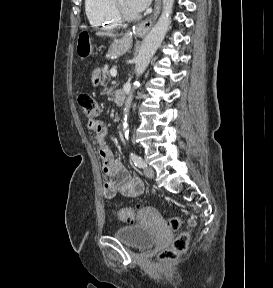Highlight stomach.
Returning a JSON list of instances; mask_svg holds the SVG:
<instances>
[{
	"label": "stomach",
	"instance_id": "obj_1",
	"mask_svg": "<svg viewBox=\"0 0 273 288\" xmlns=\"http://www.w3.org/2000/svg\"><path fill=\"white\" fill-rule=\"evenodd\" d=\"M131 47V41L127 36L115 39L109 46L106 58H116L126 53ZM93 50L92 41L87 35H80L77 40L76 53L84 59L88 57Z\"/></svg>",
	"mask_w": 273,
	"mask_h": 288
}]
</instances>
